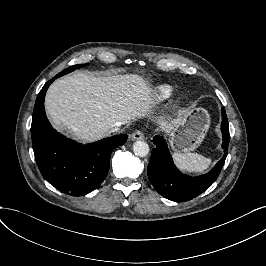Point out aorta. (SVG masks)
<instances>
[{
	"mask_svg": "<svg viewBox=\"0 0 266 266\" xmlns=\"http://www.w3.org/2000/svg\"><path fill=\"white\" fill-rule=\"evenodd\" d=\"M149 150V145L145 141L139 140L133 143V152L139 157L147 156Z\"/></svg>",
	"mask_w": 266,
	"mask_h": 266,
	"instance_id": "762f6f07",
	"label": "aorta"
}]
</instances>
